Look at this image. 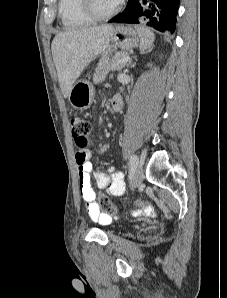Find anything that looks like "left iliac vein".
I'll return each instance as SVG.
<instances>
[{"label": "left iliac vein", "mask_w": 227, "mask_h": 298, "mask_svg": "<svg viewBox=\"0 0 227 298\" xmlns=\"http://www.w3.org/2000/svg\"><path fill=\"white\" fill-rule=\"evenodd\" d=\"M143 180V168L141 165H138L135 172L134 176L131 182V188L137 187Z\"/></svg>", "instance_id": "left-iliac-vein-1"}]
</instances>
